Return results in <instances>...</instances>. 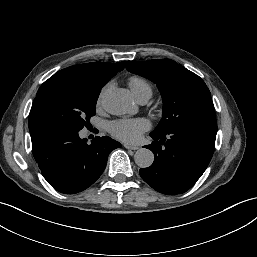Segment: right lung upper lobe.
<instances>
[{
    "label": "right lung upper lobe",
    "instance_id": "1",
    "mask_svg": "<svg viewBox=\"0 0 257 257\" xmlns=\"http://www.w3.org/2000/svg\"><path fill=\"white\" fill-rule=\"evenodd\" d=\"M124 66L125 61L115 64L94 62L71 66L59 73L81 80L89 86L102 88Z\"/></svg>",
    "mask_w": 257,
    "mask_h": 257
}]
</instances>
